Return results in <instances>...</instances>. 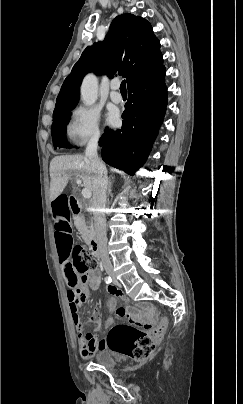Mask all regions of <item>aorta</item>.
Masks as SVG:
<instances>
[{
    "mask_svg": "<svg viewBox=\"0 0 243 404\" xmlns=\"http://www.w3.org/2000/svg\"><path fill=\"white\" fill-rule=\"evenodd\" d=\"M81 98L84 106H93L98 100V80L93 74L84 78L81 86Z\"/></svg>",
    "mask_w": 243,
    "mask_h": 404,
    "instance_id": "1",
    "label": "aorta"
}]
</instances>
